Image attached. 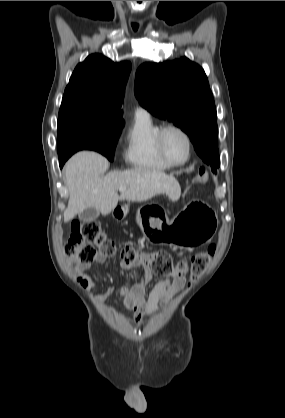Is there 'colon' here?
<instances>
[{
	"instance_id": "1",
	"label": "colon",
	"mask_w": 285,
	"mask_h": 418,
	"mask_svg": "<svg viewBox=\"0 0 285 418\" xmlns=\"http://www.w3.org/2000/svg\"><path fill=\"white\" fill-rule=\"evenodd\" d=\"M213 174L211 170L201 168L199 178L202 182H207ZM65 245L66 254L83 265L93 264L99 252L111 254L116 250L100 224L96 222L82 224L77 220L72 222L71 233L65 237ZM214 253L215 247L209 246L203 252L196 254L189 266L175 263L165 252L146 253L128 248L121 252V256L126 262L134 261L142 255L148 256L152 262V270L160 276L184 275L190 272L191 276L195 277L205 270ZM77 281L83 287H88L90 283L89 277L84 274L79 275Z\"/></svg>"
}]
</instances>
